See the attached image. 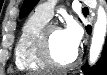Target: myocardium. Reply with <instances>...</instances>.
<instances>
[{
	"mask_svg": "<svg viewBox=\"0 0 107 75\" xmlns=\"http://www.w3.org/2000/svg\"><path fill=\"white\" fill-rule=\"evenodd\" d=\"M53 29H59V27L54 24H46L37 37L36 48L39 58L48 68L54 70H67L73 68L79 60L78 52H76L73 59L68 63H59L54 58L50 45V33Z\"/></svg>",
	"mask_w": 107,
	"mask_h": 75,
	"instance_id": "f54148a6",
	"label": "myocardium"
}]
</instances>
